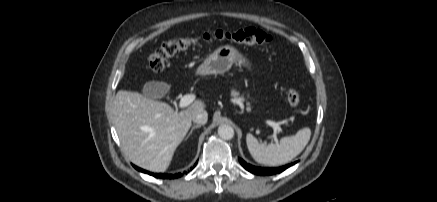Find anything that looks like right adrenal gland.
Instances as JSON below:
<instances>
[{
	"label": "right adrenal gland",
	"instance_id": "right-adrenal-gland-1",
	"mask_svg": "<svg viewBox=\"0 0 437 202\" xmlns=\"http://www.w3.org/2000/svg\"><path fill=\"white\" fill-rule=\"evenodd\" d=\"M200 127H201V125H194V126L191 128V130H190L189 134L187 135V137L185 138V140H187V139L190 137V135L192 134V132H193L194 129H196V128H200Z\"/></svg>",
	"mask_w": 437,
	"mask_h": 202
}]
</instances>
